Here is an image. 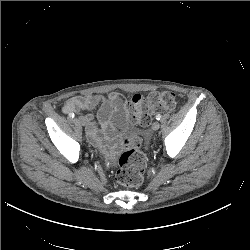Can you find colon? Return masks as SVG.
Returning a JSON list of instances; mask_svg holds the SVG:
<instances>
[{"label": "colon", "instance_id": "obj_1", "mask_svg": "<svg viewBox=\"0 0 250 250\" xmlns=\"http://www.w3.org/2000/svg\"><path fill=\"white\" fill-rule=\"evenodd\" d=\"M175 107L176 97L170 91H156L147 96L135 95L128 103V118L135 125L147 127L154 112H169ZM145 166V155L140 141L136 139L132 144L128 143L119 158L116 180L123 186L137 187L142 183Z\"/></svg>", "mask_w": 250, "mask_h": 250}]
</instances>
